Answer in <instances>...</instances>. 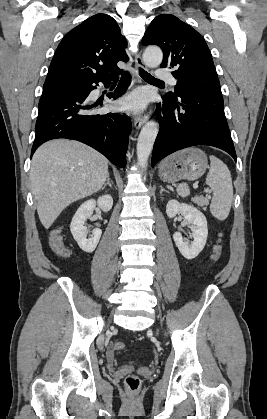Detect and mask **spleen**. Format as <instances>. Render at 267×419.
Segmentation results:
<instances>
[{"mask_svg": "<svg viewBox=\"0 0 267 419\" xmlns=\"http://www.w3.org/2000/svg\"><path fill=\"white\" fill-rule=\"evenodd\" d=\"M206 184L213 191L210 212L216 219L223 221L228 217L233 202L232 178L226 164L213 155L210 156V169L206 177ZM177 193L181 197H187L190 194V189L186 183H181L177 187ZM201 198L204 200L202 196Z\"/></svg>", "mask_w": 267, "mask_h": 419, "instance_id": "obj_1", "label": "spleen"}]
</instances>
